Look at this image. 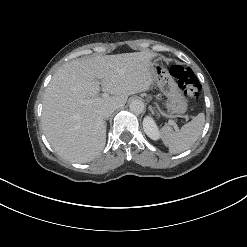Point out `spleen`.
<instances>
[{
    "label": "spleen",
    "mask_w": 247,
    "mask_h": 247,
    "mask_svg": "<svg viewBox=\"0 0 247 247\" xmlns=\"http://www.w3.org/2000/svg\"><path fill=\"white\" fill-rule=\"evenodd\" d=\"M205 124L204 113H199L189 123L183 125L180 130L174 131L171 127H163L161 138L169 152L181 153L189 149L200 137Z\"/></svg>",
    "instance_id": "spleen-1"
}]
</instances>
